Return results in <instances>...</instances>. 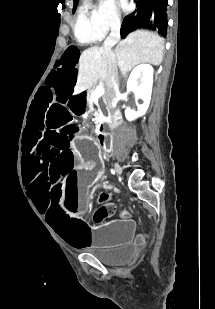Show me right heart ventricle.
Segmentation results:
<instances>
[{"instance_id":"1","label":"right heart ventricle","mask_w":215,"mask_h":309,"mask_svg":"<svg viewBox=\"0 0 215 309\" xmlns=\"http://www.w3.org/2000/svg\"><path fill=\"white\" fill-rule=\"evenodd\" d=\"M74 32L79 43H85L89 38H94L95 34H101V27H95V21L91 14H82L81 19H75ZM113 44V43H111Z\"/></svg>"}]
</instances>
